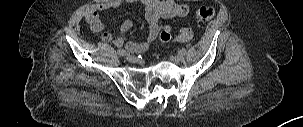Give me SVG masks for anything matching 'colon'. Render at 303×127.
I'll return each instance as SVG.
<instances>
[{
	"instance_id": "obj_1",
	"label": "colon",
	"mask_w": 303,
	"mask_h": 127,
	"mask_svg": "<svg viewBox=\"0 0 303 127\" xmlns=\"http://www.w3.org/2000/svg\"><path fill=\"white\" fill-rule=\"evenodd\" d=\"M215 10L211 6H202L196 12V20L200 23L209 21L213 18ZM192 38V30L189 27H183L176 36L177 41H188ZM173 40L171 33L168 30H162L159 34L160 43H169Z\"/></svg>"
}]
</instances>
